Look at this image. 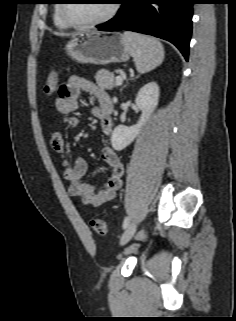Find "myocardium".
I'll return each mask as SVG.
<instances>
[{"instance_id":"1","label":"myocardium","mask_w":236,"mask_h":321,"mask_svg":"<svg viewBox=\"0 0 236 321\" xmlns=\"http://www.w3.org/2000/svg\"><path fill=\"white\" fill-rule=\"evenodd\" d=\"M67 4L68 3H66V2H63L60 4V7H59L60 15L65 23H67L69 26L76 27V28H88V27H94V26H99V25L105 24L108 21H110L117 14L118 9H119L118 1L114 0L111 2V7H110L108 13L104 17H102L98 20L90 21V22H77V21H74L73 19H71L67 15V13H66Z\"/></svg>"}]
</instances>
